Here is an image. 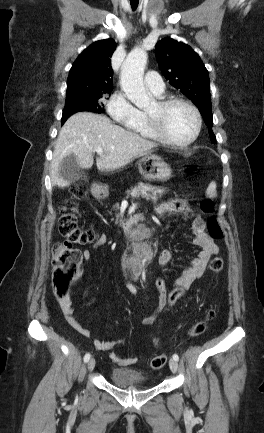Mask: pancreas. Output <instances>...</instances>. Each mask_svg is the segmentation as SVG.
Wrapping results in <instances>:
<instances>
[{
    "mask_svg": "<svg viewBox=\"0 0 264 433\" xmlns=\"http://www.w3.org/2000/svg\"><path fill=\"white\" fill-rule=\"evenodd\" d=\"M165 193V189L161 187L152 186L149 184H144L139 182L137 186L131 188V190L126 191V197L131 196L132 198H145L146 200H151L157 202L158 198ZM114 209H119V204L114 205Z\"/></svg>",
    "mask_w": 264,
    "mask_h": 433,
    "instance_id": "1",
    "label": "pancreas"
}]
</instances>
